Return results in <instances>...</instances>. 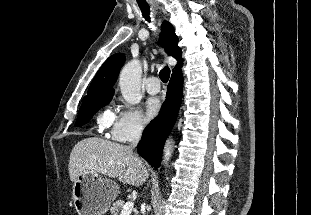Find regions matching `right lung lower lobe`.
<instances>
[{
	"label": "right lung lower lobe",
	"mask_w": 311,
	"mask_h": 215,
	"mask_svg": "<svg viewBox=\"0 0 311 215\" xmlns=\"http://www.w3.org/2000/svg\"><path fill=\"white\" fill-rule=\"evenodd\" d=\"M182 83L180 69L172 74L160 114L146 126L138 144V153L155 168L160 167L164 142L177 119L182 100Z\"/></svg>",
	"instance_id": "98d812e1"
}]
</instances>
